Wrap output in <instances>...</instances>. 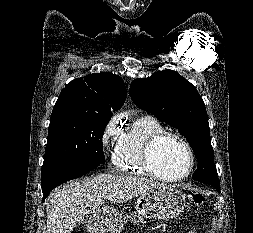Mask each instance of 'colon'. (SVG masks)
Segmentation results:
<instances>
[{
  "label": "colon",
  "mask_w": 253,
  "mask_h": 233,
  "mask_svg": "<svg viewBox=\"0 0 253 233\" xmlns=\"http://www.w3.org/2000/svg\"><path fill=\"white\" fill-rule=\"evenodd\" d=\"M190 200L195 206H200L205 202V196L200 193H193L190 195ZM72 233H81L80 230L76 229Z\"/></svg>",
  "instance_id": "5ec220e1"
}]
</instances>
